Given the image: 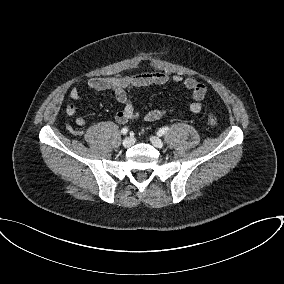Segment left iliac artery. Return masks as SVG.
I'll return each instance as SVG.
<instances>
[{
    "label": "left iliac artery",
    "mask_w": 284,
    "mask_h": 284,
    "mask_svg": "<svg viewBox=\"0 0 284 284\" xmlns=\"http://www.w3.org/2000/svg\"><path fill=\"white\" fill-rule=\"evenodd\" d=\"M169 128L167 126L165 127H162L159 131H158V134L161 136V135H164L168 132Z\"/></svg>",
    "instance_id": "44dca946"
}]
</instances>
